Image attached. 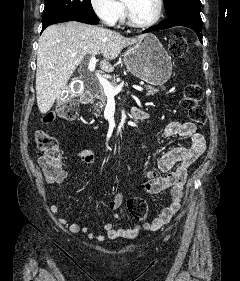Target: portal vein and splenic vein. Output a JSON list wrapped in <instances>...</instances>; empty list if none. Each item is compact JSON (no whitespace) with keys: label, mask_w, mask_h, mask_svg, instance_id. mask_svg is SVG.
Wrapping results in <instances>:
<instances>
[{"label":"portal vein and splenic vein","mask_w":240,"mask_h":281,"mask_svg":"<svg viewBox=\"0 0 240 281\" xmlns=\"http://www.w3.org/2000/svg\"><path fill=\"white\" fill-rule=\"evenodd\" d=\"M96 62H97V60H96L95 56H92L88 63L89 71L93 72L95 70ZM96 77H97L100 85L102 86V88L104 90V94L107 96V98H113L115 95H117L119 92L122 91L123 84L113 87L106 78L101 76L100 73H96ZM134 88L138 91H143L142 87L137 86Z\"/></svg>","instance_id":"obj_1"}]
</instances>
